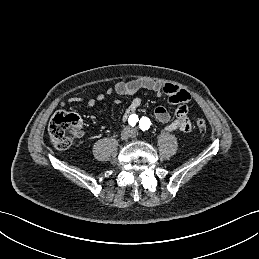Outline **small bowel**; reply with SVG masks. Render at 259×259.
Listing matches in <instances>:
<instances>
[{
  "mask_svg": "<svg viewBox=\"0 0 259 259\" xmlns=\"http://www.w3.org/2000/svg\"><path fill=\"white\" fill-rule=\"evenodd\" d=\"M141 90H147L155 93L158 96H167L168 103L176 105V118L171 119V115L167 108L160 105L155 108V118L165 124V129L169 132L191 131L192 124L188 117L187 103L191 99V95L185 89L180 88L172 83H160L149 79H133L130 81H120L113 87L108 88L105 93L99 94L96 97L89 98L87 100L88 107L92 108L97 103L104 100L106 95L118 94L121 96H134ZM84 98L75 96L70 99L71 103H78L83 101ZM141 105V98L134 96L129 106L125 110L124 119H128Z\"/></svg>",
  "mask_w": 259,
  "mask_h": 259,
  "instance_id": "1",
  "label": "small bowel"
}]
</instances>
